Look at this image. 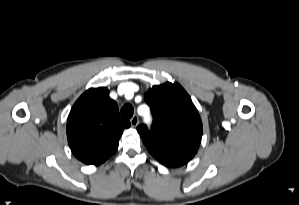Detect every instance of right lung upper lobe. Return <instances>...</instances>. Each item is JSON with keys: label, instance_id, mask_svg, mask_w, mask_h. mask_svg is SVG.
Here are the masks:
<instances>
[{"label": "right lung upper lobe", "instance_id": "1", "mask_svg": "<svg viewBox=\"0 0 299 205\" xmlns=\"http://www.w3.org/2000/svg\"><path fill=\"white\" fill-rule=\"evenodd\" d=\"M115 101L105 87L85 91L73 105L67 121V138L72 153L88 165H100L112 156L124 128Z\"/></svg>", "mask_w": 299, "mask_h": 205}]
</instances>
